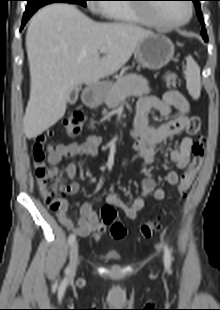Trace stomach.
Wrapping results in <instances>:
<instances>
[{
  "label": "stomach",
  "mask_w": 220,
  "mask_h": 310,
  "mask_svg": "<svg viewBox=\"0 0 220 310\" xmlns=\"http://www.w3.org/2000/svg\"><path fill=\"white\" fill-rule=\"evenodd\" d=\"M174 45L164 35L153 34L145 37L135 50V57L139 64L149 69H161L167 65L174 55ZM108 86L100 90H91L86 100L89 105H97L101 102Z\"/></svg>",
  "instance_id": "obj_1"
}]
</instances>
